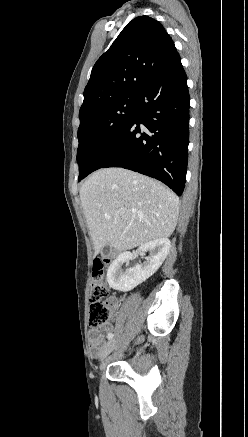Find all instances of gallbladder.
I'll return each mask as SVG.
<instances>
[{
    "mask_svg": "<svg viewBox=\"0 0 248 437\" xmlns=\"http://www.w3.org/2000/svg\"><path fill=\"white\" fill-rule=\"evenodd\" d=\"M110 253H111V247L108 245H106L101 251V255L103 257H108L110 255Z\"/></svg>",
    "mask_w": 248,
    "mask_h": 437,
    "instance_id": "obj_1",
    "label": "gallbladder"
}]
</instances>
